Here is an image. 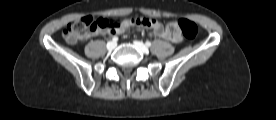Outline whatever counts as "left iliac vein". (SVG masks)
I'll use <instances>...</instances> for the list:
<instances>
[{"label":"left iliac vein","instance_id":"4c4485c4","mask_svg":"<svg viewBox=\"0 0 276 120\" xmlns=\"http://www.w3.org/2000/svg\"><path fill=\"white\" fill-rule=\"evenodd\" d=\"M134 45L143 53H148V48L140 41H134Z\"/></svg>","mask_w":276,"mask_h":120}]
</instances>
